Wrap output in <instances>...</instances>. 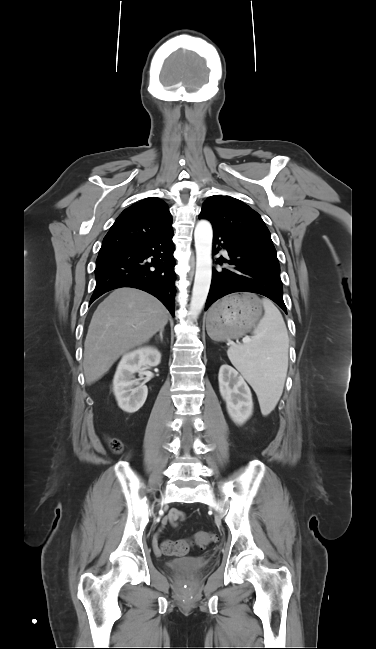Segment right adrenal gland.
<instances>
[{"label": "right adrenal gland", "instance_id": "obj_1", "mask_svg": "<svg viewBox=\"0 0 376 649\" xmlns=\"http://www.w3.org/2000/svg\"><path fill=\"white\" fill-rule=\"evenodd\" d=\"M163 332H164V328L160 330L159 336H156V338H160V340L163 341Z\"/></svg>", "mask_w": 376, "mask_h": 649}]
</instances>
